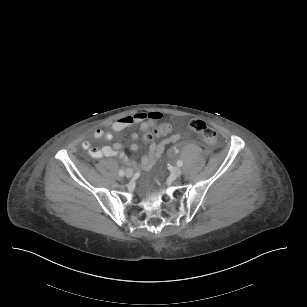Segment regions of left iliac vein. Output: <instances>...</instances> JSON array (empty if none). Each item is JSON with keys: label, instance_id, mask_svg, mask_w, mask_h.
<instances>
[{"label": "left iliac vein", "instance_id": "1", "mask_svg": "<svg viewBox=\"0 0 307 307\" xmlns=\"http://www.w3.org/2000/svg\"><path fill=\"white\" fill-rule=\"evenodd\" d=\"M182 171L180 167H174L171 171L173 177L178 178L181 175Z\"/></svg>", "mask_w": 307, "mask_h": 307}]
</instances>
